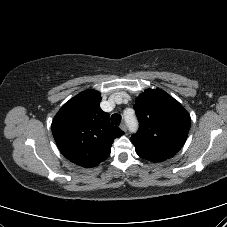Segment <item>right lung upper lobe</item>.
<instances>
[{"label":"right lung upper lobe","instance_id":"1","mask_svg":"<svg viewBox=\"0 0 227 227\" xmlns=\"http://www.w3.org/2000/svg\"><path fill=\"white\" fill-rule=\"evenodd\" d=\"M100 101L96 90L81 92L66 102L52 121V133L61 153L85 168L105 160L114 139L124 134L110 123Z\"/></svg>","mask_w":227,"mask_h":227}]
</instances>
